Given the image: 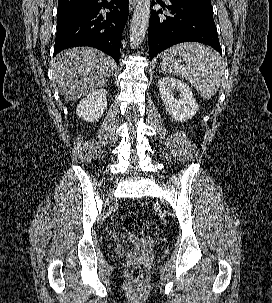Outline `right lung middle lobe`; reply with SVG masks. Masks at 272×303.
<instances>
[{"mask_svg": "<svg viewBox=\"0 0 272 303\" xmlns=\"http://www.w3.org/2000/svg\"><path fill=\"white\" fill-rule=\"evenodd\" d=\"M79 6V5H78ZM76 7V6H75ZM70 8H73V7H58V11L57 12H63L65 10H68Z\"/></svg>", "mask_w": 272, "mask_h": 303, "instance_id": "1", "label": "right lung middle lobe"}]
</instances>
